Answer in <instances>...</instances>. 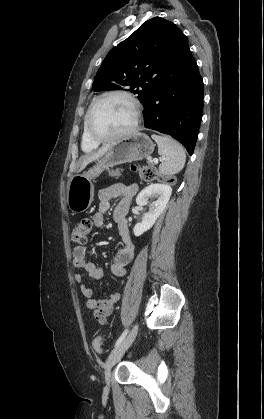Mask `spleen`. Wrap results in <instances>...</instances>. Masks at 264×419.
<instances>
[{"label": "spleen", "mask_w": 264, "mask_h": 419, "mask_svg": "<svg viewBox=\"0 0 264 419\" xmlns=\"http://www.w3.org/2000/svg\"><path fill=\"white\" fill-rule=\"evenodd\" d=\"M158 145V153L163 156L159 166V171L163 175H174L180 172L186 161L184 148L177 141L168 136H158L153 134Z\"/></svg>", "instance_id": "spleen-1"}]
</instances>
